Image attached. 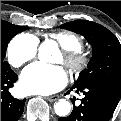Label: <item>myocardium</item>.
<instances>
[{
    "label": "myocardium",
    "mask_w": 121,
    "mask_h": 121,
    "mask_svg": "<svg viewBox=\"0 0 121 121\" xmlns=\"http://www.w3.org/2000/svg\"><path fill=\"white\" fill-rule=\"evenodd\" d=\"M61 55L62 63L74 74L82 72L89 63L88 56L80 49H64Z\"/></svg>",
    "instance_id": "1"
}]
</instances>
